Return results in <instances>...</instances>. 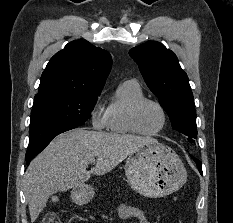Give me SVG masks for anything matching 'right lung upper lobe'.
I'll use <instances>...</instances> for the list:
<instances>
[{"instance_id":"1","label":"right lung upper lobe","mask_w":233,"mask_h":223,"mask_svg":"<svg viewBox=\"0 0 233 223\" xmlns=\"http://www.w3.org/2000/svg\"><path fill=\"white\" fill-rule=\"evenodd\" d=\"M111 65L109 52L85 40L72 41L50 59L42 73L36 96L101 93Z\"/></svg>"}]
</instances>
